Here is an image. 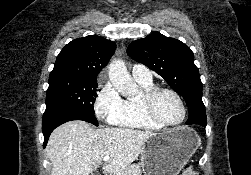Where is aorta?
Returning <instances> with one entry per match:
<instances>
[{
    "label": "aorta",
    "instance_id": "aorta-1",
    "mask_svg": "<svg viewBox=\"0 0 251 175\" xmlns=\"http://www.w3.org/2000/svg\"><path fill=\"white\" fill-rule=\"evenodd\" d=\"M108 74L113 88L120 91L121 95H132V93H135L137 84L131 78L123 60L111 62Z\"/></svg>",
    "mask_w": 251,
    "mask_h": 175
}]
</instances>
